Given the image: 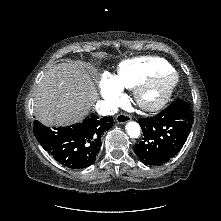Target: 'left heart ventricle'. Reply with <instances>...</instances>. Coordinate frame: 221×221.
<instances>
[{
    "mask_svg": "<svg viewBox=\"0 0 221 221\" xmlns=\"http://www.w3.org/2000/svg\"><path fill=\"white\" fill-rule=\"evenodd\" d=\"M163 89H164V85H159L156 88L152 89L148 94L149 98L158 97L161 94V92L163 91Z\"/></svg>",
    "mask_w": 221,
    "mask_h": 221,
    "instance_id": "left-heart-ventricle-1",
    "label": "left heart ventricle"
}]
</instances>
